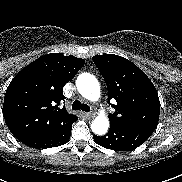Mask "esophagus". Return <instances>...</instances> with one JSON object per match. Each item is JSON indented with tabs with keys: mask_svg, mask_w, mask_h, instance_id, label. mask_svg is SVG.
I'll list each match as a JSON object with an SVG mask.
<instances>
[{
	"mask_svg": "<svg viewBox=\"0 0 182 182\" xmlns=\"http://www.w3.org/2000/svg\"><path fill=\"white\" fill-rule=\"evenodd\" d=\"M85 115L88 119H93L95 117V113H86Z\"/></svg>",
	"mask_w": 182,
	"mask_h": 182,
	"instance_id": "1",
	"label": "esophagus"
}]
</instances>
